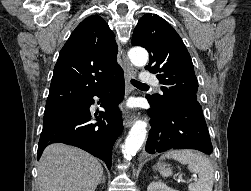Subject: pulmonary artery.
<instances>
[{"mask_svg":"<svg viewBox=\"0 0 251 191\" xmlns=\"http://www.w3.org/2000/svg\"><path fill=\"white\" fill-rule=\"evenodd\" d=\"M147 71L146 69L144 70ZM140 82H149V86H156L160 88V84L157 81L156 73H141Z\"/></svg>","mask_w":251,"mask_h":191,"instance_id":"e3ab8cb5","label":"pulmonary artery"}]
</instances>
